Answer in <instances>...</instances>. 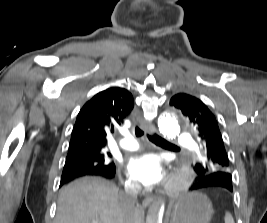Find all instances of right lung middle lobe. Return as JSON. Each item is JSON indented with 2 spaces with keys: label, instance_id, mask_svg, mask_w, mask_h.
<instances>
[{
  "label": "right lung middle lobe",
  "instance_id": "dd1d6c3e",
  "mask_svg": "<svg viewBox=\"0 0 267 223\" xmlns=\"http://www.w3.org/2000/svg\"><path fill=\"white\" fill-rule=\"evenodd\" d=\"M110 158L109 152L93 146L83 147L80 150L68 152L63 172L86 173L116 170L115 164L110 161Z\"/></svg>",
  "mask_w": 267,
  "mask_h": 223
}]
</instances>
